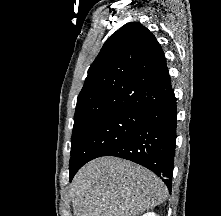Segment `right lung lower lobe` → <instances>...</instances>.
I'll use <instances>...</instances> for the list:
<instances>
[{"label":"right lung lower lobe","mask_w":221,"mask_h":216,"mask_svg":"<svg viewBox=\"0 0 221 216\" xmlns=\"http://www.w3.org/2000/svg\"><path fill=\"white\" fill-rule=\"evenodd\" d=\"M176 124V98L170 88L145 111L144 119L137 130L103 156L124 158L150 169L162 179L171 192ZM81 167L78 165L70 168V180Z\"/></svg>","instance_id":"98d812e1"}]
</instances>
